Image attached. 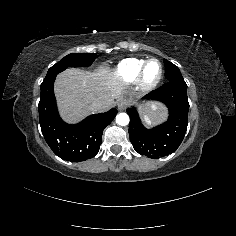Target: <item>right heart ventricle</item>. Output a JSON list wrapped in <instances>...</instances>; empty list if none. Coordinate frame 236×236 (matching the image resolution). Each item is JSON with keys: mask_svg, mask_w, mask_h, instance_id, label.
Instances as JSON below:
<instances>
[{"mask_svg": "<svg viewBox=\"0 0 236 236\" xmlns=\"http://www.w3.org/2000/svg\"><path fill=\"white\" fill-rule=\"evenodd\" d=\"M145 61L138 58L122 60L113 70L114 79L124 85L134 83Z\"/></svg>", "mask_w": 236, "mask_h": 236, "instance_id": "right-heart-ventricle-1", "label": "right heart ventricle"}]
</instances>
